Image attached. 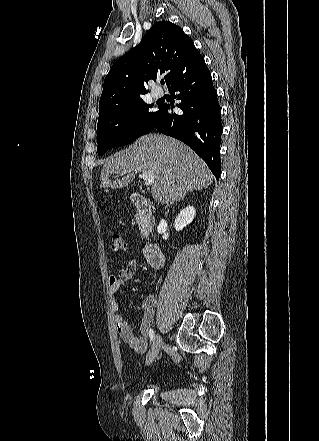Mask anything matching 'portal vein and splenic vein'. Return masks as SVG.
I'll return each instance as SVG.
<instances>
[{
    "mask_svg": "<svg viewBox=\"0 0 319 441\" xmlns=\"http://www.w3.org/2000/svg\"><path fill=\"white\" fill-rule=\"evenodd\" d=\"M140 177L143 178V180L145 181V184L148 186L152 185L155 180V174L150 173V172H146V171H143L142 174L140 175Z\"/></svg>",
    "mask_w": 319,
    "mask_h": 441,
    "instance_id": "portal-vein-and-splenic-vein-1",
    "label": "portal vein and splenic vein"
}]
</instances>
